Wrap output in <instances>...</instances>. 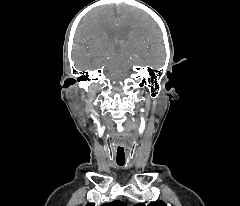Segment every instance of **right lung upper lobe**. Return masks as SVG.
<instances>
[{"instance_id":"right-lung-upper-lobe-1","label":"right lung upper lobe","mask_w":240,"mask_h":206,"mask_svg":"<svg viewBox=\"0 0 240 206\" xmlns=\"http://www.w3.org/2000/svg\"><path fill=\"white\" fill-rule=\"evenodd\" d=\"M86 206H94V205L87 204ZM102 206H126V204L117 200V201H113L111 203H104Z\"/></svg>"}]
</instances>
